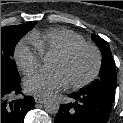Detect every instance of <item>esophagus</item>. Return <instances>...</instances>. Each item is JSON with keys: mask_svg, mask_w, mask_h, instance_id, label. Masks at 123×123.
I'll use <instances>...</instances> for the list:
<instances>
[{"mask_svg": "<svg viewBox=\"0 0 123 123\" xmlns=\"http://www.w3.org/2000/svg\"><path fill=\"white\" fill-rule=\"evenodd\" d=\"M45 101H46V99H44V98L35 97V102H36V103L42 104V103H44Z\"/></svg>", "mask_w": 123, "mask_h": 123, "instance_id": "esophagus-1", "label": "esophagus"}]
</instances>
